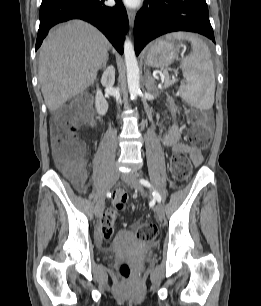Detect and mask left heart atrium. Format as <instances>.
<instances>
[{"label": "left heart atrium", "mask_w": 261, "mask_h": 306, "mask_svg": "<svg viewBox=\"0 0 261 306\" xmlns=\"http://www.w3.org/2000/svg\"><path fill=\"white\" fill-rule=\"evenodd\" d=\"M140 0H124V3L129 7H135Z\"/></svg>", "instance_id": "39dd6f15"}]
</instances>
